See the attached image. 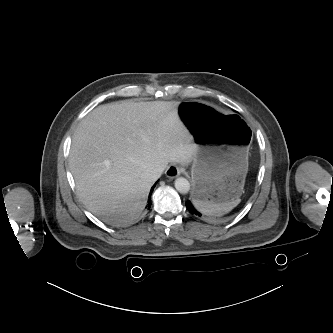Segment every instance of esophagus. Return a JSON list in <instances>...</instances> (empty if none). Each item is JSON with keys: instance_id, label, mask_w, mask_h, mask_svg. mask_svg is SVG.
<instances>
[{"instance_id": "esophagus-1", "label": "esophagus", "mask_w": 333, "mask_h": 333, "mask_svg": "<svg viewBox=\"0 0 333 333\" xmlns=\"http://www.w3.org/2000/svg\"><path fill=\"white\" fill-rule=\"evenodd\" d=\"M184 169L177 165H170L168 169L165 171V174L168 178H175L180 175Z\"/></svg>"}]
</instances>
